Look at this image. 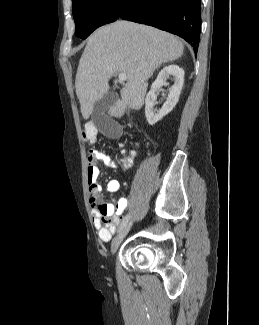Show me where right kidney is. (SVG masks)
<instances>
[{
  "label": "right kidney",
  "mask_w": 259,
  "mask_h": 325,
  "mask_svg": "<svg viewBox=\"0 0 259 325\" xmlns=\"http://www.w3.org/2000/svg\"><path fill=\"white\" fill-rule=\"evenodd\" d=\"M173 76L174 84L169 90L168 98L160 110L154 108L156 104V92L166 84L167 79ZM184 83V70L178 65L171 64L164 67L157 76V79L151 86V90L145 99V116L150 125H154L165 115L170 113L179 101V96Z\"/></svg>",
  "instance_id": "obj_1"
}]
</instances>
